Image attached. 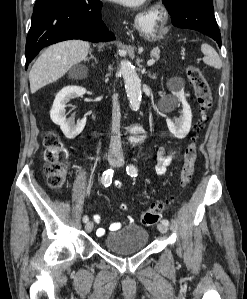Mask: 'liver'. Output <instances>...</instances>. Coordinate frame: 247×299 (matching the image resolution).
Segmentation results:
<instances>
[{"label": "liver", "instance_id": "1", "mask_svg": "<svg viewBox=\"0 0 247 299\" xmlns=\"http://www.w3.org/2000/svg\"><path fill=\"white\" fill-rule=\"evenodd\" d=\"M89 51L90 44L82 40H67L48 47L30 70L31 93L57 81L73 65L86 60Z\"/></svg>", "mask_w": 247, "mask_h": 299}]
</instances>
